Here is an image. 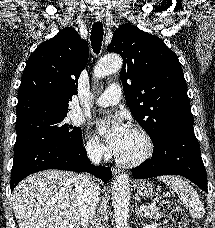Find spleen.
Segmentation results:
<instances>
[{"mask_svg": "<svg viewBox=\"0 0 215 228\" xmlns=\"http://www.w3.org/2000/svg\"><path fill=\"white\" fill-rule=\"evenodd\" d=\"M157 180H162L164 184L170 186L173 192H176L178 198H180L181 202L189 210L191 218H203L205 216L203 202H201L199 194H197L196 190L188 182L182 180L180 176H159Z\"/></svg>", "mask_w": 215, "mask_h": 228, "instance_id": "3e777b00", "label": "spleen"}]
</instances>
